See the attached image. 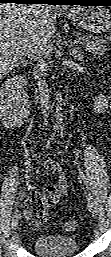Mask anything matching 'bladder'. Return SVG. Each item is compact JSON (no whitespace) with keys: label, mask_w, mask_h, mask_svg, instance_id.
Masks as SVG:
<instances>
[{"label":"bladder","mask_w":111,"mask_h":257,"mask_svg":"<svg viewBox=\"0 0 111 257\" xmlns=\"http://www.w3.org/2000/svg\"><path fill=\"white\" fill-rule=\"evenodd\" d=\"M34 252L41 257H70L78 250V242L73 237L41 235L33 242Z\"/></svg>","instance_id":"1"}]
</instances>
